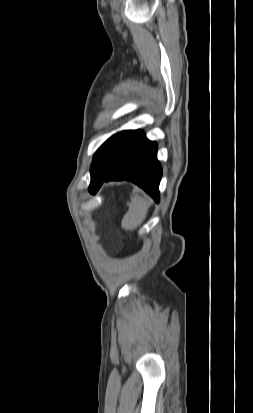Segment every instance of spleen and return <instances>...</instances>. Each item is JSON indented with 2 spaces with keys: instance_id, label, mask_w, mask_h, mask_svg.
I'll return each mask as SVG.
<instances>
[{
  "instance_id": "spleen-1",
  "label": "spleen",
  "mask_w": 253,
  "mask_h": 413,
  "mask_svg": "<svg viewBox=\"0 0 253 413\" xmlns=\"http://www.w3.org/2000/svg\"><path fill=\"white\" fill-rule=\"evenodd\" d=\"M150 199L147 196L134 195L131 197L128 212L124 215L121 226L125 230H135L146 218Z\"/></svg>"
}]
</instances>
